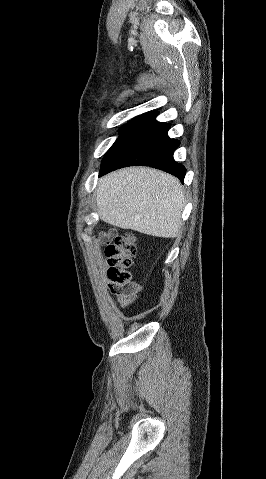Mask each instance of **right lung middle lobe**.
Here are the masks:
<instances>
[{"mask_svg":"<svg viewBox=\"0 0 266 479\" xmlns=\"http://www.w3.org/2000/svg\"><path fill=\"white\" fill-rule=\"evenodd\" d=\"M128 123H129V122H128ZM128 123H127V124H128ZM127 124H125V125L123 126V128H124ZM123 128H122V129H123ZM122 129H121V130H122Z\"/></svg>","mask_w":266,"mask_h":479,"instance_id":"1","label":"right lung middle lobe"}]
</instances>
